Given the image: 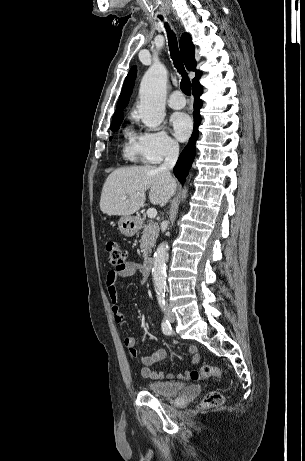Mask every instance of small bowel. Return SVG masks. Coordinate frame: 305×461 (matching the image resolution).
Instances as JSON below:
<instances>
[{"mask_svg":"<svg viewBox=\"0 0 305 461\" xmlns=\"http://www.w3.org/2000/svg\"><path fill=\"white\" fill-rule=\"evenodd\" d=\"M148 273L147 271L137 262H127L126 267L123 270H110L107 272L106 275V289L109 295V299L111 301V310L114 315V319L117 323H122L124 321V314L122 312V305L119 299V293L117 288V280L119 278H131L136 277L141 282H145L147 279ZM125 347L127 348L129 354L132 357H136L138 355V351L135 346V338L133 336H126L123 340ZM188 353L192 356L191 357V364L195 365L199 363L200 356L198 354L197 347L191 345L188 347ZM166 351L163 348H158L155 351L142 356V368L140 370V374L144 378L150 379H163L165 377L163 372L154 371L151 367L164 360L166 358ZM169 378H174V374H169ZM177 378L182 380H187L189 378V373L184 372L176 375Z\"/></svg>","mask_w":305,"mask_h":461,"instance_id":"small-bowel-1","label":"small bowel"}]
</instances>
